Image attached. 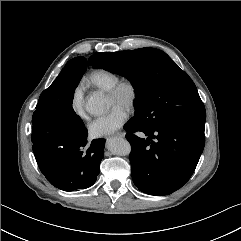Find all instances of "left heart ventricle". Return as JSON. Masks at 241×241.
<instances>
[{
	"mask_svg": "<svg viewBox=\"0 0 241 241\" xmlns=\"http://www.w3.org/2000/svg\"><path fill=\"white\" fill-rule=\"evenodd\" d=\"M130 98V93L128 90H124L121 95L117 98H113L108 96V103L110 107H114V106H121L126 108L127 103L129 101Z\"/></svg>",
	"mask_w": 241,
	"mask_h": 241,
	"instance_id": "b2bd125f",
	"label": "left heart ventricle"
}]
</instances>
